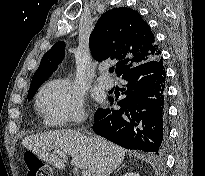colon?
<instances>
[{"mask_svg": "<svg viewBox=\"0 0 205 176\" xmlns=\"http://www.w3.org/2000/svg\"><path fill=\"white\" fill-rule=\"evenodd\" d=\"M23 160L27 167V176H52L49 165L45 164L35 153L26 151Z\"/></svg>", "mask_w": 205, "mask_h": 176, "instance_id": "1", "label": "colon"}]
</instances>
